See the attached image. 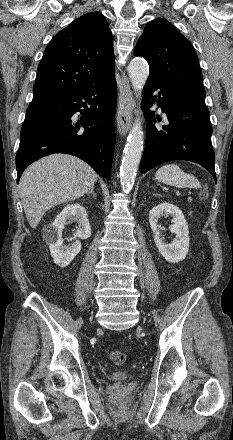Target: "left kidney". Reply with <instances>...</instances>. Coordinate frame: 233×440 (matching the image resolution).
I'll use <instances>...</instances> for the list:
<instances>
[{
    "mask_svg": "<svg viewBox=\"0 0 233 440\" xmlns=\"http://www.w3.org/2000/svg\"><path fill=\"white\" fill-rule=\"evenodd\" d=\"M168 215L173 218L170 231L175 234V238L169 244L161 239L160 225H158L159 218ZM149 223L154 233L155 244L165 260L170 263H178L185 259L189 251L190 239L188 224L182 211L173 204L161 203L149 212Z\"/></svg>",
    "mask_w": 233,
    "mask_h": 440,
    "instance_id": "1",
    "label": "left kidney"
}]
</instances>
